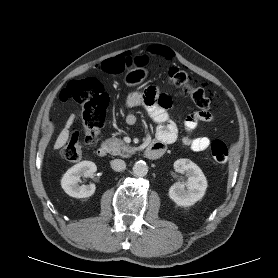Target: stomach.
<instances>
[{
  "instance_id": "0dacf381",
  "label": "stomach",
  "mask_w": 278,
  "mask_h": 278,
  "mask_svg": "<svg viewBox=\"0 0 278 278\" xmlns=\"http://www.w3.org/2000/svg\"><path fill=\"white\" fill-rule=\"evenodd\" d=\"M148 75L145 68H133L125 75L124 81L127 86H135L140 84Z\"/></svg>"
}]
</instances>
